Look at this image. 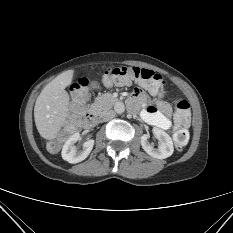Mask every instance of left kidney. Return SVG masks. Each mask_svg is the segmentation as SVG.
<instances>
[{"mask_svg": "<svg viewBox=\"0 0 233 233\" xmlns=\"http://www.w3.org/2000/svg\"><path fill=\"white\" fill-rule=\"evenodd\" d=\"M153 133L159 140V147L156 149L148 142V136L143 135L141 137V145L144 151L157 159H165L173 154L174 147L171 137L162 129L157 127L153 128Z\"/></svg>", "mask_w": 233, "mask_h": 233, "instance_id": "1", "label": "left kidney"}]
</instances>
